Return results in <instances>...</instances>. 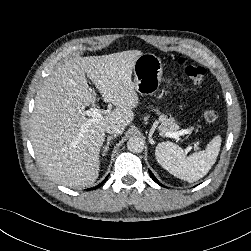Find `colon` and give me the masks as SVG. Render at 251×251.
Returning <instances> with one entry per match:
<instances>
[{"label":"colon","mask_w":251,"mask_h":251,"mask_svg":"<svg viewBox=\"0 0 251 251\" xmlns=\"http://www.w3.org/2000/svg\"><path fill=\"white\" fill-rule=\"evenodd\" d=\"M185 75L196 85H199L205 76V69L202 66L187 64L185 59H180ZM203 117L208 123H213L218 119V111L211 107L208 102L204 104Z\"/></svg>","instance_id":"colon-1"}]
</instances>
